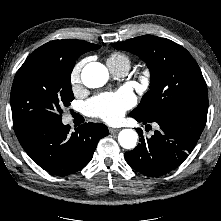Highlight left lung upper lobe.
<instances>
[{"instance_id":"obj_1","label":"left lung upper lobe","mask_w":221,"mask_h":221,"mask_svg":"<svg viewBox=\"0 0 221 221\" xmlns=\"http://www.w3.org/2000/svg\"><path fill=\"white\" fill-rule=\"evenodd\" d=\"M111 45L139 56L150 69V90L130 114L154 118L193 110L207 115V85L198 64L185 48L153 35Z\"/></svg>"}]
</instances>
